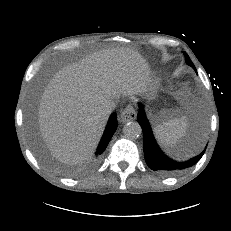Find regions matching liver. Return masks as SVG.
<instances>
[{
    "mask_svg": "<svg viewBox=\"0 0 231 231\" xmlns=\"http://www.w3.org/2000/svg\"><path fill=\"white\" fill-rule=\"evenodd\" d=\"M149 73L146 60L126 47L94 52L57 72L38 108L39 131L52 155L67 164L91 158L109 118L106 104L145 93Z\"/></svg>",
    "mask_w": 231,
    "mask_h": 231,
    "instance_id": "obj_1",
    "label": "liver"
}]
</instances>
